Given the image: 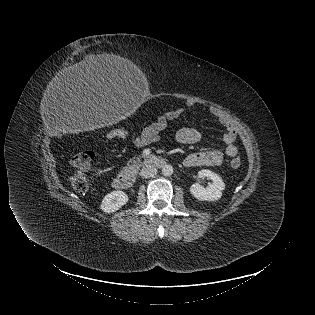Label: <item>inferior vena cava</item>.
<instances>
[{"label": "inferior vena cava", "instance_id": "inferior-vena-cava-1", "mask_svg": "<svg viewBox=\"0 0 315 315\" xmlns=\"http://www.w3.org/2000/svg\"><path fill=\"white\" fill-rule=\"evenodd\" d=\"M157 174V168L151 164H146L143 166L140 175L143 178H152Z\"/></svg>", "mask_w": 315, "mask_h": 315}]
</instances>
